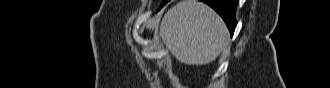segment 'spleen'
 Wrapping results in <instances>:
<instances>
[{
  "label": "spleen",
  "instance_id": "obj_1",
  "mask_svg": "<svg viewBox=\"0 0 330 88\" xmlns=\"http://www.w3.org/2000/svg\"><path fill=\"white\" fill-rule=\"evenodd\" d=\"M221 17L197 0L173 6L160 24V37L175 58L188 65L213 62L228 45Z\"/></svg>",
  "mask_w": 330,
  "mask_h": 88
}]
</instances>
